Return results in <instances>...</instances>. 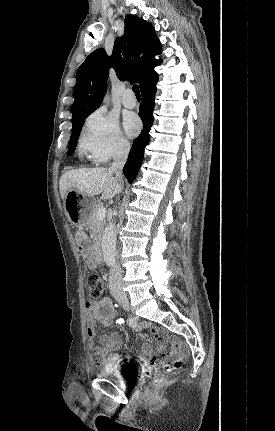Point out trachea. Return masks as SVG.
I'll use <instances>...</instances> for the list:
<instances>
[{
	"instance_id": "obj_1",
	"label": "trachea",
	"mask_w": 275,
	"mask_h": 431,
	"mask_svg": "<svg viewBox=\"0 0 275 431\" xmlns=\"http://www.w3.org/2000/svg\"><path fill=\"white\" fill-rule=\"evenodd\" d=\"M132 90H133V92L135 93V95H136L137 97H140V96H141V95H140V91H139V86H138V85H133Z\"/></svg>"
}]
</instances>
